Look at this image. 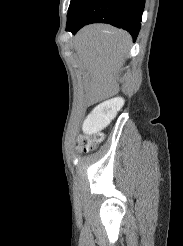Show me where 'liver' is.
<instances>
[{"label": "liver", "instance_id": "obj_1", "mask_svg": "<svg viewBox=\"0 0 183 246\" xmlns=\"http://www.w3.org/2000/svg\"><path fill=\"white\" fill-rule=\"evenodd\" d=\"M74 49L86 70L85 91L91 102L106 99L119 91L115 74L122 70L131 44L126 31L106 24L82 28L74 37Z\"/></svg>", "mask_w": 183, "mask_h": 246}]
</instances>
